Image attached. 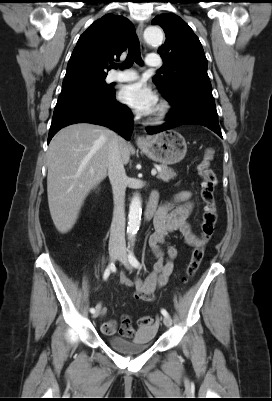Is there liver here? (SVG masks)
Instances as JSON below:
<instances>
[{
    "label": "liver",
    "mask_w": 272,
    "mask_h": 401,
    "mask_svg": "<svg viewBox=\"0 0 272 401\" xmlns=\"http://www.w3.org/2000/svg\"><path fill=\"white\" fill-rule=\"evenodd\" d=\"M115 136L105 127L78 123L61 129L50 142L47 195L50 215L59 232L72 229L89 191L106 177L109 145ZM118 139L123 163L127 164L130 145Z\"/></svg>",
    "instance_id": "1"
}]
</instances>
